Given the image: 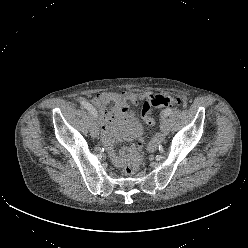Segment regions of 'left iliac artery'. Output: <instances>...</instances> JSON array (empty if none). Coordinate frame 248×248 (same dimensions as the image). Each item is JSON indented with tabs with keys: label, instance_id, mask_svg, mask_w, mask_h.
I'll return each instance as SVG.
<instances>
[{
	"label": "left iliac artery",
	"instance_id": "obj_1",
	"mask_svg": "<svg viewBox=\"0 0 248 248\" xmlns=\"http://www.w3.org/2000/svg\"><path fill=\"white\" fill-rule=\"evenodd\" d=\"M171 113H172V109L171 108H166L164 110V115H166V116L170 115Z\"/></svg>",
	"mask_w": 248,
	"mask_h": 248
}]
</instances>
